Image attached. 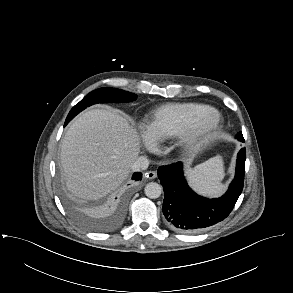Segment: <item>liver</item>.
Here are the masks:
<instances>
[{
  "label": "liver",
  "instance_id": "6515ba94",
  "mask_svg": "<svg viewBox=\"0 0 293 293\" xmlns=\"http://www.w3.org/2000/svg\"><path fill=\"white\" fill-rule=\"evenodd\" d=\"M139 152V135L125 117L89 110L70 125L62 142L66 185L81 198H101L127 179Z\"/></svg>",
  "mask_w": 293,
  "mask_h": 293
}]
</instances>
